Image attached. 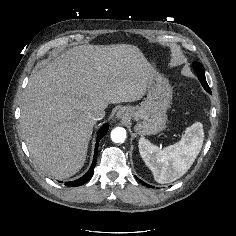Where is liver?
I'll use <instances>...</instances> for the list:
<instances>
[{
	"label": "liver",
	"instance_id": "1",
	"mask_svg": "<svg viewBox=\"0 0 236 236\" xmlns=\"http://www.w3.org/2000/svg\"><path fill=\"white\" fill-rule=\"evenodd\" d=\"M153 68L133 45H82L31 74L21 128L35 164L66 179L83 167L95 125L94 108L135 102L147 92Z\"/></svg>",
	"mask_w": 236,
	"mask_h": 236
}]
</instances>
